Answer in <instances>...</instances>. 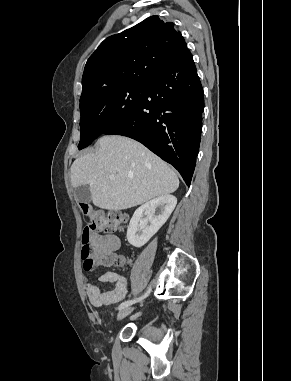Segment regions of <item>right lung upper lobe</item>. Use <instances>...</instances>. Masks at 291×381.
Returning <instances> with one entry per match:
<instances>
[{
	"label": "right lung upper lobe",
	"instance_id": "right-lung-upper-lobe-1",
	"mask_svg": "<svg viewBox=\"0 0 291 381\" xmlns=\"http://www.w3.org/2000/svg\"><path fill=\"white\" fill-rule=\"evenodd\" d=\"M186 48L174 24L156 15L106 38L85 65L80 103L111 87L148 82Z\"/></svg>",
	"mask_w": 291,
	"mask_h": 381
}]
</instances>
